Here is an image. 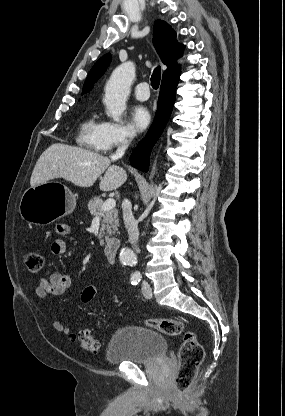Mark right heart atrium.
I'll use <instances>...</instances> for the list:
<instances>
[{
	"label": "right heart atrium",
	"mask_w": 285,
	"mask_h": 416,
	"mask_svg": "<svg viewBox=\"0 0 285 416\" xmlns=\"http://www.w3.org/2000/svg\"><path fill=\"white\" fill-rule=\"evenodd\" d=\"M130 134V129L124 124L103 118L101 119V128L96 138L97 149L107 152L120 147L127 142Z\"/></svg>",
	"instance_id": "1"
}]
</instances>
